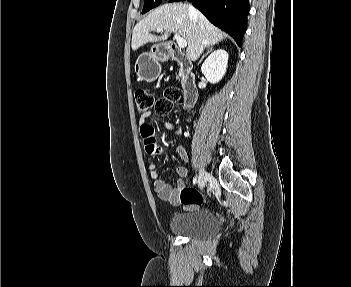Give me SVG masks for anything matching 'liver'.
<instances>
[{
	"instance_id": "6515ba94",
	"label": "liver",
	"mask_w": 351,
	"mask_h": 287,
	"mask_svg": "<svg viewBox=\"0 0 351 287\" xmlns=\"http://www.w3.org/2000/svg\"><path fill=\"white\" fill-rule=\"evenodd\" d=\"M163 28L164 34L152 35L150 32ZM171 33H177L187 42V56L191 60L197 59L205 47L215 45L227 37V34L212 25L206 17L195 9L189 10L186 3L164 4L134 27L132 33V50H137L146 43L165 41Z\"/></svg>"
}]
</instances>
